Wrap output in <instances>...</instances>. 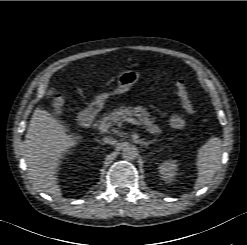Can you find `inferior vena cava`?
Returning a JSON list of instances; mask_svg holds the SVG:
<instances>
[{
    "mask_svg": "<svg viewBox=\"0 0 247 245\" xmlns=\"http://www.w3.org/2000/svg\"><path fill=\"white\" fill-rule=\"evenodd\" d=\"M103 141L105 142V143H108V144H110V145H114V144H116V140L114 139V138H112V137H104L103 138Z\"/></svg>",
    "mask_w": 247,
    "mask_h": 245,
    "instance_id": "602c4592",
    "label": "inferior vena cava"
}]
</instances>
